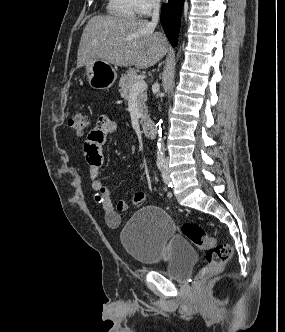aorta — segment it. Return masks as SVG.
<instances>
[{
  "label": "aorta",
  "instance_id": "obj_1",
  "mask_svg": "<svg viewBox=\"0 0 285 332\" xmlns=\"http://www.w3.org/2000/svg\"><path fill=\"white\" fill-rule=\"evenodd\" d=\"M163 155H164L163 141L162 138H159L157 143V156L158 158H162Z\"/></svg>",
  "mask_w": 285,
  "mask_h": 332
}]
</instances>
